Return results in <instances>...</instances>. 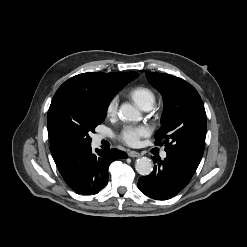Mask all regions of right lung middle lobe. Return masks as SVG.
<instances>
[{
    "label": "right lung middle lobe",
    "instance_id": "obj_1",
    "mask_svg": "<svg viewBox=\"0 0 247 247\" xmlns=\"http://www.w3.org/2000/svg\"><path fill=\"white\" fill-rule=\"evenodd\" d=\"M110 101H99L81 95H63L52 100L48 111L50 122L59 136L76 148L91 145V132L101 124Z\"/></svg>",
    "mask_w": 247,
    "mask_h": 247
}]
</instances>
